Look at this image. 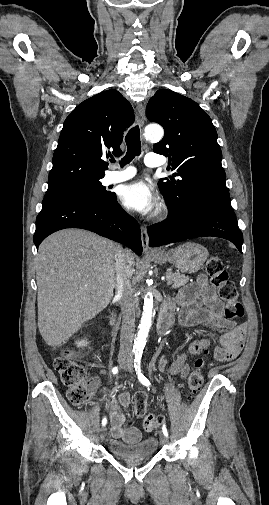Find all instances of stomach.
Listing matches in <instances>:
<instances>
[{"label":"stomach","instance_id":"0dacf381","mask_svg":"<svg viewBox=\"0 0 269 505\" xmlns=\"http://www.w3.org/2000/svg\"><path fill=\"white\" fill-rule=\"evenodd\" d=\"M208 250L197 243L186 242L170 252L158 250L151 259L158 264L171 262L183 273H195L208 258Z\"/></svg>","mask_w":269,"mask_h":505}]
</instances>
